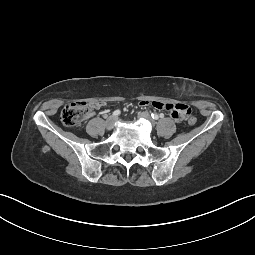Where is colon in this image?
<instances>
[{
    "label": "colon",
    "mask_w": 255,
    "mask_h": 255,
    "mask_svg": "<svg viewBox=\"0 0 255 255\" xmlns=\"http://www.w3.org/2000/svg\"><path fill=\"white\" fill-rule=\"evenodd\" d=\"M91 110V105L82 102L75 101L70 102L64 106L61 111V120L66 126L75 127L80 125L85 118L89 115ZM196 118L194 116H190L187 118V122L191 125L196 123Z\"/></svg>",
    "instance_id": "colon-1"
}]
</instances>
